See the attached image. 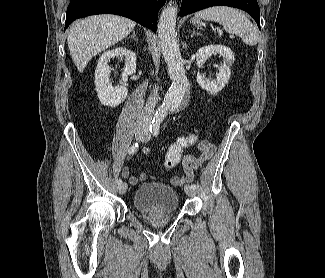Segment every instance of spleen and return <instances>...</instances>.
I'll use <instances>...</instances> for the list:
<instances>
[{"mask_svg":"<svg viewBox=\"0 0 325 278\" xmlns=\"http://www.w3.org/2000/svg\"><path fill=\"white\" fill-rule=\"evenodd\" d=\"M196 18L220 23L228 33L238 35L249 46L258 42V32L249 19L239 10L216 6L201 10L195 14Z\"/></svg>","mask_w":325,"mask_h":278,"instance_id":"3e777b00","label":"spleen"}]
</instances>
